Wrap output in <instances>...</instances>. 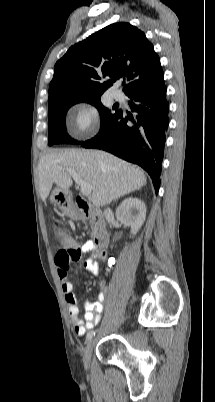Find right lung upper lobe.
Returning <instances> with one entry per match:
<instances>
[{"mask_svg":"<svg viewBox=\"0 0 215 402\" xmlns=\"http://www.w3.org/2000/svg\"><path fill=\"white\" fill-rule=\"evenodd\" d=\"M119 78L126 95L164 80L152 43L129 23L111 24L71 46L55 64L48 103L102 95Z\"/></svg>","mask_w":215,"mask_h":402,"instance_id":"cb5924a9","label":"right lung upper lobe"}]
</instances>
